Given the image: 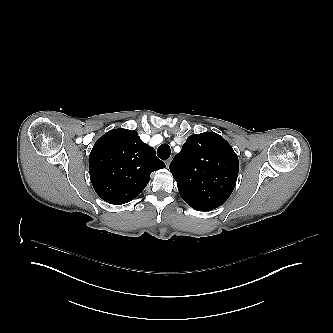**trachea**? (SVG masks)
<instances>
[{"mask_svg":"<svg viewBox=\"0 0 333 333\" xmlns=\"http://www.w3.org/2000/svg\"><path fill=\"white\" fill-rule=\"evenodd\" d=\"M171 154V149L168 144H162L157 150V155L160 159L166 160Z\"/></svg>","mask_w":333,"mask_h":333,"instance_id":"trachea-1","label":"trachea"}]
</instances>
